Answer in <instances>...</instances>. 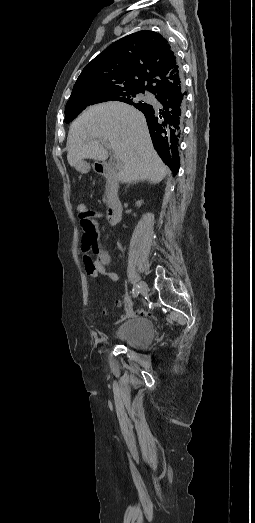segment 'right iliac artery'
<instances>
[{
	"label": "right iliac artery",
	"instance_id": "obj_1",
	"mask_svg": "<svg viewBox=\"0 0 255 523\" xmlns=\"http://www.w3.org/2000/svg\"><path fill=\"white\" fill-rule=\"evenodd\" d=\"M140 286L135 284L132 289L133 296L136 297L139 294Z\"/></svg>",
	"mask_w": 255,
	"mask_h": 523
}]
</instances>
